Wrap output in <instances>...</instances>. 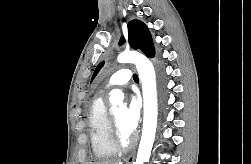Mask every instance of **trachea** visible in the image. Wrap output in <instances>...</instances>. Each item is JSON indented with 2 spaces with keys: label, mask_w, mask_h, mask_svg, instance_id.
Returning a JSON list of instances; mask_svg holds the SVG:
<instances>
[{
  "label": "trachea",
  "mask_w": 251,
  "mask_h": 164,
  "mask_svg": "<svg viewBox=\"0 0 251 164\" xmlns=\"http://www.w3.org/2000/svg\"><path fill=\"white\" fill-rule=\"evenodd\" d=\"M133 79H134V81H136V82L139 81V78H138L137 74H134V75H133Z\"/></svg>",
  "instance_id": "obj_1"
}]
</instances>
